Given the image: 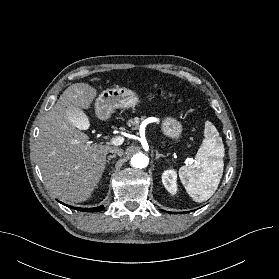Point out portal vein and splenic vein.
Returning a JSON list of instances; mask_svg holds the SVG:
<instances>
[{"label": "portal vein and splenic vein", "mask_w": 279, "mask_h": 279, "mask_svg": "<svg viewBox=\"0 0 279 279\" xmlns=\"http://www.w3.org/2000/svg\"><path fill=\"white\" fill-rule=\"evenodd\" d=\"M123 142H124V138L121 136H115L110 139V144L115 145V146L121 145ZM188 162L191 164L193 162V159L189 158Z\"/></svg>", "instance_id": "portal-vein-and-splenic-vein-1"}]
</instances>
